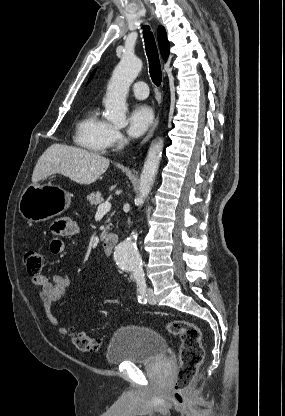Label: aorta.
<instances>
[{"instance_id": "aorta-1", "label": "aorta", "mask_w": 285, "mask_h": 416, "mask_svg": "<svg viewBox=\"0 0 285 416\" xmlns=\"http://www.w3.org/2000/svg\"><path fill=\"white\" fill-rule=\"evenodd\" d=\"M142 69V61L134 55H125L113 71L107 87L104 105L106 119L116 125L126 124V97L132 82ZM163 150V140L151 144L143 170L140 176L139 195L135 204L142 206L145 197L150 193L158 172ZM137 233L131 235L115 247L114 258L117 265L132 273L133 276H142V258L136 246Z\"/></svg>"}]
</instances>
